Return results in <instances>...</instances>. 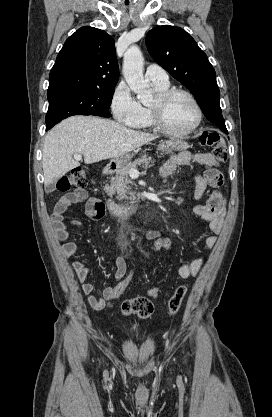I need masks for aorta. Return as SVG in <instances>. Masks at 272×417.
<instances>
[{
    "instance_id": "762f6f07",
    "label": "aorta",
    "mask_w": 272,
    "mask_h": 417,
    "mask_svg": "<svg viewBox=\"0 0 272 417\" xmlns=\"http://www.w3.org/2000/svg\"><path fill=\"white\" fill-rule=\"evenodd\" d=\"M143 63L144 58L139 47L130 46L124 54L123 75L130 89L146 105L152 101L153 95L148 80L144 79Z\"/></svg>"
}]
</instances>
